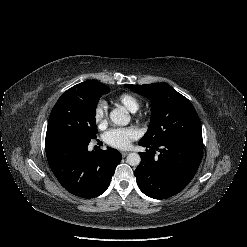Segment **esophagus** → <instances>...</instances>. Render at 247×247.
<instances>
[{
	"label": "esophagus",
	"instance_id": "1",
	"mask_svg": "<svg viewBox=\"0 0 247 247\" xmlns=\"http://www.w3.org/2000/svg\"><path fill=\"white\" fill-rule=\"evenodd\" d=\"M128 153H129V152H127V151H122V152H121V154H122L123 157H126V156L128 155Z\"/></svg>",
	"mask_w": 247,
	"mask_h": 247
}]
</instances>
